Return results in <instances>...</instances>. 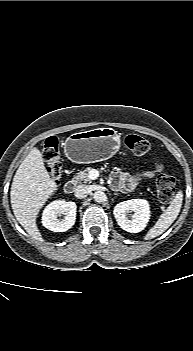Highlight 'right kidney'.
<instances>
[{"label": "right kidney", "instance_id": "1", "mask_svg": "<svg viewBox=\"0 0 193 351\" xmlns=\"http://www.w3.org/2000/svg\"><path fill=\"white\" fill-rule=\"evenodd\" d=\"M76 211L75 202L53 201L43 211L42 224L53 232H65L75 224ZM61 215H64V218L58 219Z\"/></svg>", "mask_w": 193, "mask_h": 351}]
</instances>
